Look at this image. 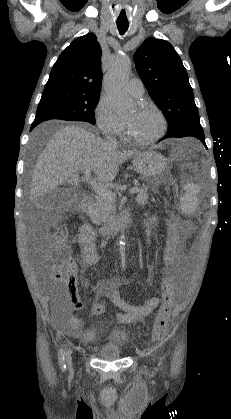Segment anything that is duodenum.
Here are the masks:
<instances>
[{
  "label": "duodenum",
  "instance_id": "obj_1",
  "mask_svg": "<svg viewBox=\"0 0 231 419\" xmlns=\"http://www.w3.org/2000/svg\"><path fill=\"white\" fill-rule=\"evenodd\" d=\"M93 205V198L91 195H85L82 202V213L90 210ZM131 219L127 214L116 215L110 222L104 224L100 228V232L104 237H110L116 234L120 229L130 225Z\"/></svg>",
  "mask_w": 231,
  "mask_h": 419
}]
</instances>
